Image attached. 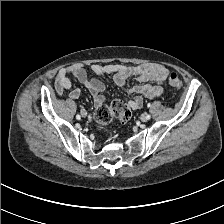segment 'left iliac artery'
I'll use <instances>...</instances> for the list:
<instances>
[{
    "label": "left iliac artery",
    "instance_id": "left-iliac-artery-1",
    "mask_svg": "<svg viewBox=\"0 0 224 224\" xmlns=\"http://www.w3.org/2000/svg\"><path fill=\"white\" fill-rule=\"evenodd\" d=\"M148 107H150V104H148ZM148 120L151 118V115H147Z\"/></svg>",
    "mask_w": 224,
    "mask_h": 224
}]
</instances>
